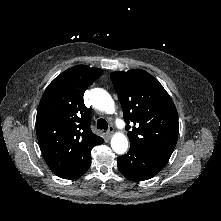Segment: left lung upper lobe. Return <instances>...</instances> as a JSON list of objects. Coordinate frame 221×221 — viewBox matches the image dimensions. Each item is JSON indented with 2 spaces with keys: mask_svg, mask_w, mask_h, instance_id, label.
<instances>
[{
  "mask_svg": "<svg viewBox=\"0 0 221 221\" xmlns=\"http://www.w3.org/2000/svg\"><path fill=\"white\" fill-rule=\"evenodd\" d=\"M130 146L168 161L178 138V114L163 86L141 69L111 73Z\"/></svg>",
  "mask_w": 221,
  "mask_h": 221,
  "instance_id": "5c2ea615",
  "label": "left lung upper lobe"
}]
</instances>
